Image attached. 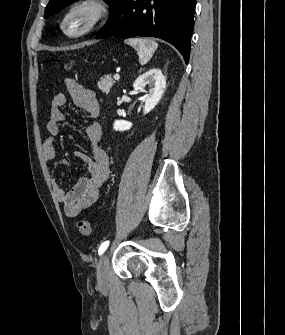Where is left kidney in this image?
Here are the masks:
<instances>
[{"instance_id":"obj_1","label":"left kidney","mask_w":285,"mask_h":335,"mask_svg":"<svg viewBox=\"0 0 285 335\" xmlns=\"http://www.w3.org/2000/svg\"><path fill=\"white\" fill-rule=\"evenodd\" d=\"M147 84L150 90L148 94H145L144 96V114H149V112H151V110L157 106L158 102H160L164 94L166 80L161 70L153 68V70L145 72V74H142V76H139V78L135 80L133 88L134 90H139V92H146L144 88L147 86ZM132 126V122H125V120H115L114 122V130H117V132H126V130H130Z\"/></svg>"}]
</instances>
